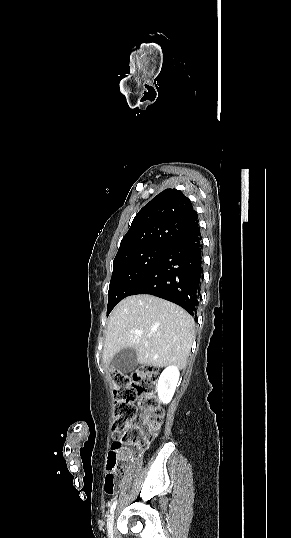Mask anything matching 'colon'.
Listing matches in <instances>:
<instances>
[{
    "label": "colon",
    "mask_w": 291,
    "mask_h": 538,
    "mask_svg": "<svg viewBox=\"0 0 291 538\" xmlns=\"http://www.w3.org/2000/svg\"><path fill=\"white\" fill-rule=\"evenodd\" d=\"M114 382L113 444L106 461L105 490L119 487L129 459L147 445L159 430L164 411L156 395L157 371L141 366L131 374L112 370ZM142 416H138V409Z\"/></svg>",
    "instance_id": "colon-1"
}]
</instances>
